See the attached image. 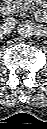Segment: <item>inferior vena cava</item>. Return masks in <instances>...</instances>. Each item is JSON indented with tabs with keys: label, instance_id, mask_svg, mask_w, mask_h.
Listing matches in <instances>:
<instances>
[{
	"label": "inferior vena cava",
	"instance_id": "obj_1",
	"mask_svg": "<svg viewBox=\"0 0 47 129\" xmlns=\"http://www.w3.org/2000/svg\"><path fill=\"white\" fill-rule=\"evenodd\" d=\"M16 23L17 22L14 18H7L2 24L1 30L4 33H10L14 29Z\"/></svg>",
	"mask_w": 47,
	"mask_h": 129
}]
</instances>
